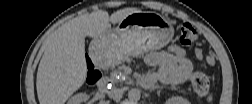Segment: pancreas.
I'll return each instance as SVG.
<instances>
[{"label":"pancreas","instance_id":"pancreas-1","mask_svg":"<svg viewBox=\"0 0 252 104\" xmlns=\"http://www.w3.org/2000/svg\"><path fill=\"white\" fill-rule=\"evenodd\" d=\"M122 75H123L122 81L128 82L129 76L127 74H125V73H123Z\"/></svg>","mask_w":252,"mask_h":104}]
</instances>
